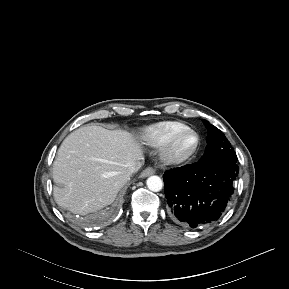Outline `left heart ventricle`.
<instances>
[{
    "mask_svg": "<svg viewBox=\"0 0 289 289\" xmlns=\"http://www.w3.org/2000/svg\"><path fill=\"white\" fill-rule=\"evenodd\" d=\"M196 143L195 136L188 134L183 136L176 144V151L178 153H187L194 147Z\"/></svg>",
    "mask_w": 289,
    "mask_h": 289,
    "instance_id": "obj_1",
    "label": "left heart ventricle"
}]
</instances>
